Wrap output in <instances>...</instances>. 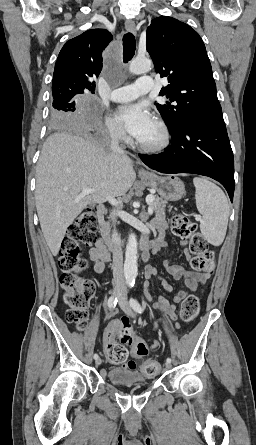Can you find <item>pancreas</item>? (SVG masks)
I'll return each instance as SVG.
<instances>
[{
    "mask_svg": "<svg viewBox=\"0 0 256 445\" xmlns=\"http://www.w3.org/2000/svg\"><path fill=\"white\" fill-rule=\"evenodd\" d=\"M167 206V202L162 200L159 197H154L152 207L156 211V215L159 217L164 218L165 217V208ZM170 211V210H169ZM100 225L102 227V233L106 234L109 232L110 226L107 222H100Z\"/></svg>",
    "mask_w": 256,
    "mask_h": 445,
    "instance_id": "cf45deb5",
    "label": "pancreas"
}]
</instances>
